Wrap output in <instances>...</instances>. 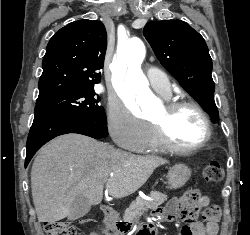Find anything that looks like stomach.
Segmentation results:
<instances>
[{
    "mask_svg": "<svg viewBox=\"0 0 250 235\" xmlns=\"http://www.w3.org/2000/svg\"><path fill=\"white\" fill-rule=\"evenodd\" d=\"M191 176V169L184 164H176L169 169L167 180L170 189L183 187Z\"/></svg>",
    "mask_w": 250,
    "mask_h": 235,
    "instance_id": "0dacf381",
    "label": "stomach"
}]
</instances>
